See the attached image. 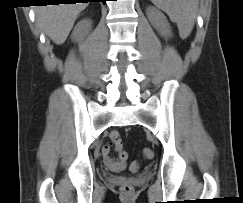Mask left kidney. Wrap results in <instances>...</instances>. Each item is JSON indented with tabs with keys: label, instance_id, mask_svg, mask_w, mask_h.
<instances>
[{
	"label": "left kidney",
	"instance_id": "obj_1",
	"mask_svg": "<svg viewBox=\"0 0 243 203\" xmlns=\"http://www.w3.org/2000/svg\"><path fill=\"white\" fill-rule=\"evenodd\" d=\"M147 16L151 24L161 32L162 35L169 36L171 35V30L169 23L163 13L156 9H150L147 12Z\"/></svg>",
	"mask_w": 243,
	"mask_h": 203
}]
</instances>
